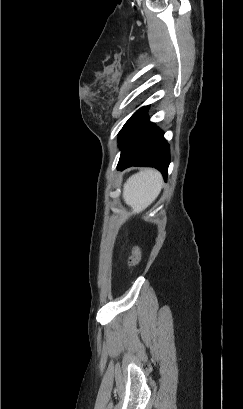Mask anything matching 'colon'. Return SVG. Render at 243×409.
<instances>
[{
  "label": "colon",
  "instance_id": "colon-1",
  "mask_svg": "<svg viewBox=\"0 0 243 409\" xmlns=\"http://www.w3.org/2000/svg\"><path fill=\"white\" fill-rule=\"evenodd\" d=\"M140 260H141V249L139 246L136 245L133 247L132 253L129 256L128 265L130 267H136L140 263Z\"/></svg>",
  "mask_w": 243,
  "mask_h": 409
}]
</instances>
